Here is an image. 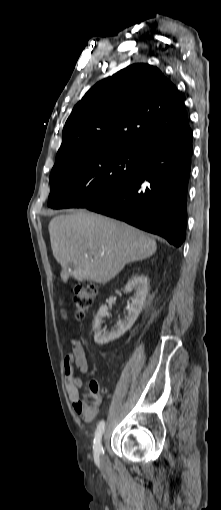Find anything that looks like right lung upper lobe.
Instances as JSON below:
<instances>
[{
	"label": "right lung upper lobe",
	"instance_id": "cb5924a9",
	"mask_svg": "<svg viewBox=\"0 0 221 510\" xmlns=\"http://www.w3.org/2000/svg\"><path fill=\"white\" fill-rule=\"evenodd\" d=\"M189 129L175 86L158 68L134 64L98 82L75 105L55 165L108 147L145 149Z\"/></svg>",
	"mask_w": 221,
	"mask_h": 510
}]
</instances>
